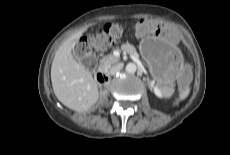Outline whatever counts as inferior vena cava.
Masks as SVG:
<instances>
[{"label": "inferior vena cava", "mask_w": 230, "mask_h": 155, "mask_svg": "<svg viewBox=\"0 0 230 155\" xmlns=\"http://www.w3.org/2000/svg\"><path fill=\"white\" fill-rule=\"evenodd\" d=\"M122 67H123L122 63H119V64L112 66L110 69V74L115 75L116 73H118L122 69Z\"/></svg>", "instance_id": "1"}]
</instances>
